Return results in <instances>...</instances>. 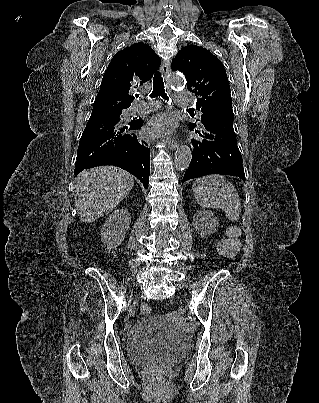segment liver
I'll return each mask as SVG.
<instances>
[{
    "label": "liver",
    "mask_w": 319,
    "mask_h": 403,
    "mask_svg": "<svg viewBox=\"0 0 319 403\" xmlns=\"http://www.w3.org/2000/svg\"><path fill=\"white\" fill-rule=\"evenodd\" d=\"M76 181L75 206L85 223L110 213L134 186L131 174L113 166L85 170Z\"/></svg>",
    "instance_id": "liver-1"
}]
</instances>
